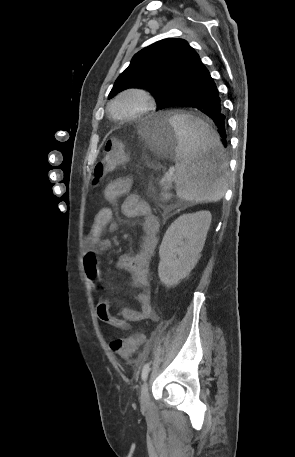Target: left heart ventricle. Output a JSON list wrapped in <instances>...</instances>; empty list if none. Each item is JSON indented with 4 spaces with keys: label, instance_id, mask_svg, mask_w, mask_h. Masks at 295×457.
Wrapping results in <instances>:
<instances>
[{
    "label": "left heart ventricle",
    "instance_id": "obj_1",
    "mask_svg": "<svg viewBox=\"0 0 295 457\" xmlns=\"http://www.w3.org/2000/svg\"><path fill=\"white\" fill-rule=\"evenodd\" d=\"M139 105L140 101L136 97H124L115 105V112L118 115H128L134 112L139 107Z\"/></svg>",
    "mask_w": 295,
    "mask_h": 457
}]
</instances>
